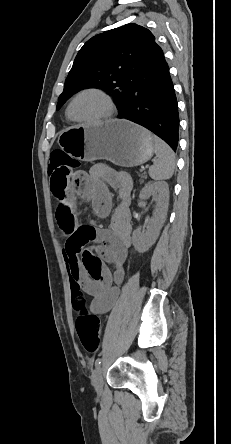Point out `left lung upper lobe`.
Instances as JSON below:
<instances>
[{"instance_id":"5c2ea615","label":"left lung upper lobe","mask_w":231,"mask_h":444,"mask_svg":"<svg viewBox=\"0 0 231 444\" xmlns=\"http://www.w3.org/2000/svg\"><path fill=\"white\" fill-rule=\"evenodd\" d=\"M159 50L153 34L133 23L92 37L74 60L57 109L81 89L101 88L117 98L120 111L126 105L136 76Z\"/></svg>"}]
</instances>
